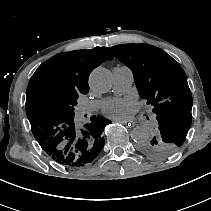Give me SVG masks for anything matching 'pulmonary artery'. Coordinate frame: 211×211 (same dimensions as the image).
I'll return each instance as SVG.
<instances>
[{"label": "pulmonary artery", "mask_w": 211, "mask_h": 211, "mask_svg": "<svg viewBox=\"0 0 211 211\" xmlns=\"http://www.w3.org/2000/svg\"><path fill=\"white\" fill-rule=\"evenodd\" d=\"M115 78L114 91L118 94L126 92L134 82V74L128 66H116L113 68ZM102 101H91L78 105V110L81 113H91L98 109Z\"/></svg>", "instance_id": "1"}]
</instances>
